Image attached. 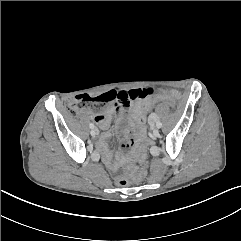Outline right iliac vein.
I'll return each instance as SVG.
<instances>
[{"label":"right iliac vein","instance_id":"1","mask_svg":"<svg viewBox=\"0 0 241 241\" xmlns=\"http://www.w3.org/2000/svg\"><path fill=\"white\" fill-rule=\"evenodd\" d=\"M90 134L92 136H96L98 134V129L97 128H93L91 131H90Z\"/></svg>","mask_w":241,"mask_h":241}]
</instances>
